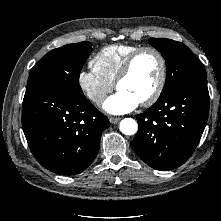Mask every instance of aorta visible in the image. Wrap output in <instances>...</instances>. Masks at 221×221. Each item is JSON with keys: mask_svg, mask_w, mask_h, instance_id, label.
Masks as SVG:
<instances>
[{"mask_svg": "<svg viewBox=\"0 0 221 221\" xmlns=\"http://www.w3.org/2000/svg\"><path fill=\"white\" fill-rule=\"evenodd\" d=\"M119 129L125 135H134L138 130V124L132 118H124L119 124Z\"/></svg>", "mask_w": 221, "mask_h": 221, "instance_id": "1", "label": "aorta"}]
</instances>
